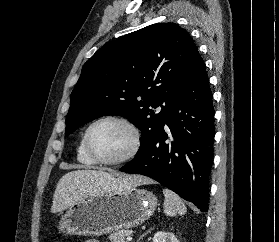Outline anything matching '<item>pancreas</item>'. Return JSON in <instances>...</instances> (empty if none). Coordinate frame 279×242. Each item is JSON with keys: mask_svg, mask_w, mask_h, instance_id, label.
<instances>
[{"mask_svg": "<svg viewBox=\"0 0 279 242\" xmlns=\"http://www.w3.org/2000/svg\"><path fill=\"white\" fill-rule=\"evenodd\" d=\"M132 234V231L121 230L111 233L108 238L111 242H126L125 238Z\"/></svg>", "mask_w": 279, "mask_h": 242, "instance_id": "obj_1", "label": "pancreas"}]
</instances>
